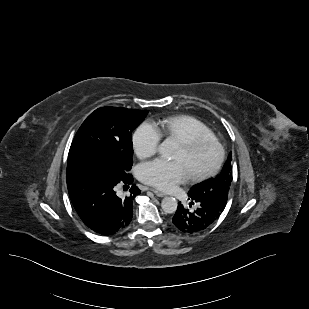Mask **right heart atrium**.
Instances as JSON below:
<instances>
[{"instance_id":"1","label":"right heart atrium","mask_w":309,"mask_h":309,"mask_svg":"<svg viewBox=\"0 0 309 309\" xmlns=\"http://www.w3.org/2000/svg\"><path fill=\"white\" fill-rule=\"evenodd\" d=\"M161 139L158 127L150 121H144L132 134V146L138 157L146 158L158 151Z\"/></svg>"}]
</instances>
